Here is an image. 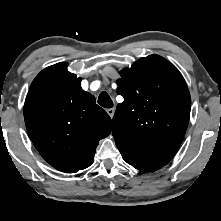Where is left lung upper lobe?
I'll use <instances>...</instances> for the list:
<instances>
[{
    "label": "left lung upper lobe",
    "mask_w": 221,
    "mask_h": 221,
    "mask_svg": "<svg viewBox=\"0 0 221 221\" xmlns=\"http://www.w3.org/2000/svg\"><path fill=\"white\" fill-rule=\"evenodd\" d=\"M117 93L124 102L113 117V136L140 157L168 163L177 153L189 122L191 98L179 70L150 55L120 72Z\"/></svg>",
    "instance_id": "left-lung-upper-lobe-1"
}]
</instances>
